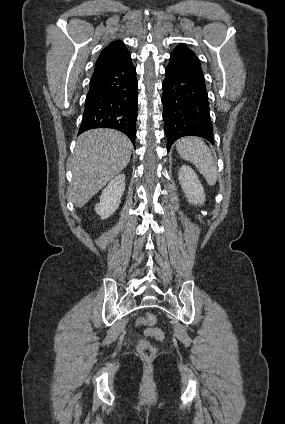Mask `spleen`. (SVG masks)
I'll return each instance as SVG.
<instances>
[{
	"label": "spleen",
	"mask_w": 285,
	"mask_h": 424,
	"mask_svg": "<svg viewBox=\"0 0 285 424\" xmlns=\"http://www.w3.org/2000/svg\"><path fill=\"white\" fill-rule=\"evenodd\" d=\"M178 154L193 163L203 174L209 185H215L218 178L217 166L209 147L198 137H183L176 142Z\"/></svg>",
	"instance_id": "obj_1"
}]
</instances>
